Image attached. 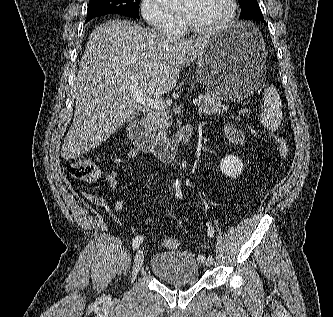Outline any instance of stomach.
<instances>
[{
	"label": "stomach",
	"instance_id": "1",
	"mask_svg": "<svg viewBox=\"0 0 333 317\" xmlns=\"http://www.w3.org/2000/svg\"><path fill=\"white\" fill-rule=\"evenodd\" d=\"M265 45L259 30L233 23L208 37L197 58V77L211 96L228 102L262 95Z\"/></svg>",
	"mask_w": 333,
	"mask_h": 317
}]
</instances>
